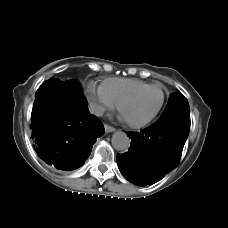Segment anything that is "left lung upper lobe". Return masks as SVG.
<instances>
[{
  "label": "left lung upper lobe",
  "mask_w": 228,
  "mask_h": 228,
  "mask_svg": "<svg viewBox=\"0 0 228 228\" xmlns=\"http://www.w3.org/2000/svg\"><path fill=\"white\" fill-rule=\"evenodd\" d=\"M160 118L173 119L176 122H180L185 118L190 119V108L186 97L180 93H172Z\"/></svg>",
  "instance_id": "1"
}]
</instances>
